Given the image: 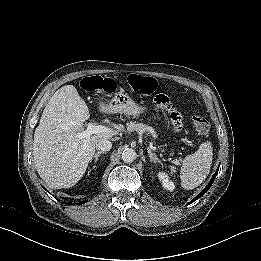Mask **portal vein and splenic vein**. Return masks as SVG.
I'll list each match as a JSON object with an SVG mask.
<instances>
[{
  "instance_id": "portal-vein-and-splenic-vein-1",
  "label": "portal vein and splenic vein",
  "mask_w": 261,
  "mask_h": 261,
  "mask_svg": "<svg viewBox=\"0 0 261 261\" xmlns=\"http://www.w3.org/2000/svg\"><path fill=\"white\" fill-rule=\"evenodd\" d=\"M98 133L112 134L110 129L106 126H102V125L96 126L93 123H89L85 131L78 133V137L85 138L91 136L92 134H98Z\"/></svg>"
}]
</instances>
